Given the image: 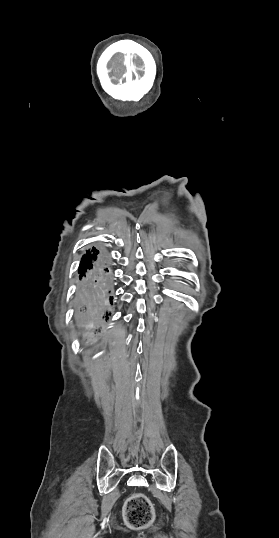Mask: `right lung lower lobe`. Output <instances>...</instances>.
<instances>
[{
  "label": "right lung lower lobe",
  "mask_w": 279,
  "mask_h": 538,
  "mask_svg": "<svg viewBox=\"0 0 279 538\" xmlns=\"http://www.w3.org/2000/svg\"><path fill=\"white\" fill-rule=\"evenodd\" d=\"M76 322L95 329L108 320L113 309L115 280L109 251L88 249L78 270Z\"/></svg>",
  "instance_id": "1"
}]
</instances>
